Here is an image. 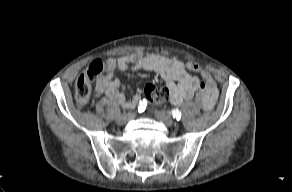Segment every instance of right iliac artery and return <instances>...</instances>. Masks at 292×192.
Masks as SVG:
<instances>
[{
    "instance_id": "obj_1",
    "label": "right iliac artery",
    "mask_w": 292,
    "mask_h": 192,
    "mask_svg": "<svg viewBox=\"0 0 292 192\" xmlns=\"http://www.w3.org/2000/svg\"><path fill=\"white\" fill-rule=\"evenodd\" d=\"M147 106V101L146 100H140L138 110L139 111H144Z\"/></svg>"
}]
</instances>
